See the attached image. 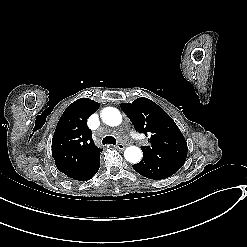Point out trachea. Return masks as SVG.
Returning <instances> with one entry per match:
<instances>
[{
    "instance_id": "1",
    "label": "trachea",
    "mask_w": 247,
    "mask_h": 247,
    "mask_svg": "<svg viewBox=\"0 0 247 247\" xmlns=\"http://www.w3.org/2000/svg\"><path fill=\"white\" fill-rule=\"evenodd\" d=\"M116 139L113 137V136H106L104 137L103 139V145H106V144H112V145H115L116 144Z\"/></svg>"
}]
</instances>
